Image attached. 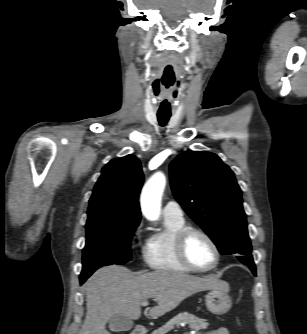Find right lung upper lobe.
<instances>
[{"label": "right lung upper lobe", "mask_w": 307, "mask_h": 334, "mask_svg": "<svg viewBox=\"0 0 307 334\" xmlns=\"http://www.w3.org/2000/svg\"><path fill=\"white\" fill-rule=\"evenodd\" d=\"M143 172L134 155L112 159L102 169L89 200L87 222L105 220L139 223Z\"/></svg>", "instance_id": "1"}]
</instances>
